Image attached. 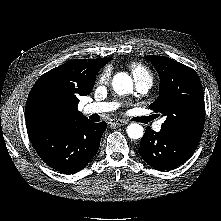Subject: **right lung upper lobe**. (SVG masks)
Returning <instances> with one entry per match:
<instances>
[{
    "instance_id": "right-lung-upper-lobe-1",
    "label": "right lung upper lobe",
    "mask_w": 221,
    "mask_h": 221,
    "mask_svg": "<svg viewBox=\"0 0 221 221\" xmlns=\"http://www.w3.org/2000/svg\"><path fill=\"white\" fill-rule=\"evenodd\" d=\"M110 60H70L43 74L27 99V126H55L86 118L78 111V98L91 93L97 72Z\"/></svg>"
}]
</instances>
